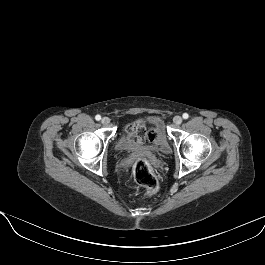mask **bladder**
Here are the masks:
<instances>
[{
    "label": "bladder",
    "mask_w": 265,
    "mask_h": 265,
    "mask_svg": "<svg viewBox=\"0 0 265 265\" xmlns=\"http://www.w3.org/2000/svg\"><path fill=\"white\" fill-rule=\"evenodd\" d=\"M148 122L152 123L155 125L157 128L162 127V121L159 117L156 116H151L148 118ZM159 143H155V146H158ZM166 143L162 142L160 146H165ZM144 143L137 142L135 140H132L128 137V130H124V132L121 134L119 141L116 145L117 149L120 151H127V150H132V149H138L144 147Z\"/></svg>",
    "instance_id": "31cf9c89"
}]
</instances>
